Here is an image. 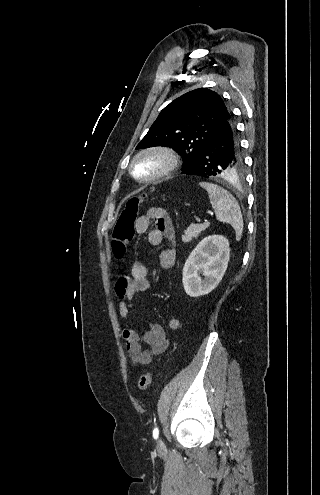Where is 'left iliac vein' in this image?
<instances>
[{
	"mask_svg": "<svg viewBox=\"0 0 320 495\" xmlns=\"http://www.w3.org/2000/svg\"><path fill=\"white\" fill-rule=\"evenodd\" d=\"M156 448L158 451H163L165 449V444L161 439L157 440Z\"/></svg>",
	"mask_w": 320,
	"mask_h": 495,
	"instance_id": "1",
	"label": "left iliac vein"
}]
</instances>
